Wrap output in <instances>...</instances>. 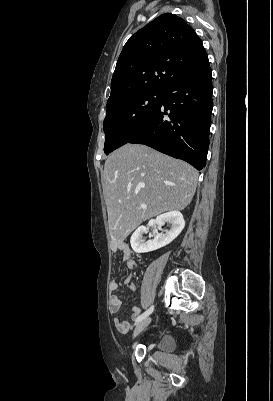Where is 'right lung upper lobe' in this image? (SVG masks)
<instances>
[{
  "label": "right lung upper lobe",
  "instance_id": "right-lung-upper-lobe-1",
  "mask_svg": "<svg viewBox=\"0 0 273 401\" xmlns=\"http://www.w3.org/2000/svg\"><path fill=\"white\" fill-rule=\"evenodd\" d=\"M207 62L195 31L182 18L163 14L137 31L123 47L107 105L142 91H163Z\"/></svg>",
  "mask_w": 273,
  "mask_h": 401
}]
</instances>
